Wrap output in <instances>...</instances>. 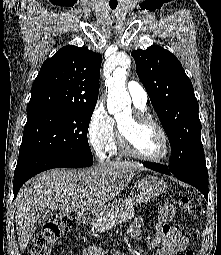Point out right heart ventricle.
I'll return each mask as SVG.
<instances>
[{
	"mask_svg": "<svg viewBox=\"0 0 221 255\" xmlns=\"http://www.w3.org/2000/svg\"><path fill=\"white\" fill-rule=\"evenodd\" d=\"M140 111H144L145 107H139L136 106ZM106 151L110 156H117V155H125L126 153L121 149L118 139H117V134L114 131L110 141L106 147Z\"/></svg>",
	"mask_w": 221,
	"mask_h": 255,
	"instance_id": "obj_1",
	"label": "right heart ventricle"
}]
</instances>
